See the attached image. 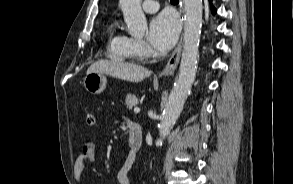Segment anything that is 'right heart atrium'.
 <instances>
[{
    "label": "right heart atrium",
    "instance_id": "obj_1",
    "mask_svg": "<svg viewBox=\"0 0 293 184\" xmlns=\"http://www.w3.org/2000/svg\"><path fill=\"white\" fill-rule=\"evenodd\" d=\"M133 48L139 57H144L149 53V47L145 41L141 39L132 38Z\"/></svg>",
    "mask_w": 293,
    "mask_h": 184
}]
</instances>
